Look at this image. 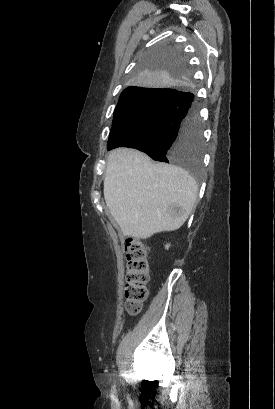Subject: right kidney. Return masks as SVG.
I'll return each mask as SVG.
<instances>
[{"instance_id": "ca27d5eb", "label": "right kidney", "mask_w": 275, "mask_h": 409, "mask_svg": "<svg viewBox=\"0 0 275 409\" xmlns=\"http://www.w3.org/2000/svg\"><path fill=\"white\" fill-rule=\"evenodd\" d=\"M170 245H165V249H169Z\"/></svg>"}]
</instances>
